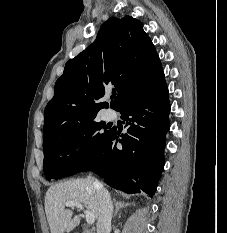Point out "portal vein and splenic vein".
Here are the masks:
<instances>
[{
	"instance_id": "obj_1",
	"label": "portal vein and splenic vein",
	"mask_w": 227,
	"mask_h": 233,
	"mask_svg": "<svg viewBox=\"0 0 227 233\" xmlns=\"http://www.w3.org/2000/svg\"><path fill=\"white\" fill-rule=\"evenodd\" d=\"M65 205L67 207H76L78 209H81V210H84V207L81 203L77 202V201H67L65 203ZM84 213H85V217H86V222L88 224H93L94 221H95V216L92 212H89V211H86L84 210Z\"/></svg>"
}]
</instances>
